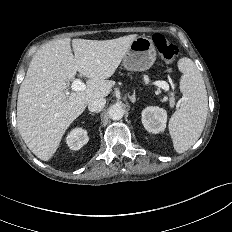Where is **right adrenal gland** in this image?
Returning <instances> with one entry per match:
<instances>
[{
    "label": "right adrenal gland",
    "instance_id": "right-adrenal-gland-1",
    "mask_svg": "<svg viewBox=\"0 0 232 232\" xmlns=\"http://www.w3.org/2000/svg\"><path fill=\"white\" fill-rule=\"evenodd\" d=\"M90 115L94 116L95 114L94 113H89Z\"/></svg>",
    "mask_w": 232,
    "mask_h": 232
}]
</instances>
